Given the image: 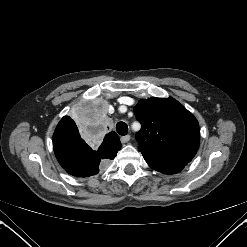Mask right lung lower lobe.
I'll use <instances>...</instances> for the list:
<instances>
[{
    "label": "right lung lower lobe",
    "mask_w": 247,
    "mask_h": 247,
    "mask_svg": "<svg viewBox=\"0 0 247 247\" xmlns=\"http://www.w3.org/2000/svg\"><path fill=\"white\" fill-rule=\"evenodd\" d=\"M53 148L60 165L71 175L88 177L95 175L118 151L90 148L80 134L55 132Z\"/></svg>",
    "instance_id": "98d812e1"
}]
</instances>
